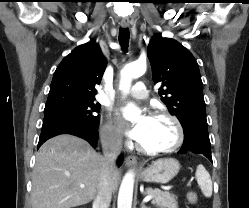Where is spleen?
Listing matches in <instances>:
<instances>
[{"label":"spleen","mask_w":249,"mask_h":208,"mask_svg":"<svg viewBox=\"0 0 249 208\" xmlns=\"http://www.w3.org/2000/svg\"><path fill=\"white\" fill-rule=\"evenodd\" d=\"M198 185L205 197H211L212 195V181L210 174L203 165H198L195 173Z\"/></svg>","instance_id":"1"}]
</instances>
